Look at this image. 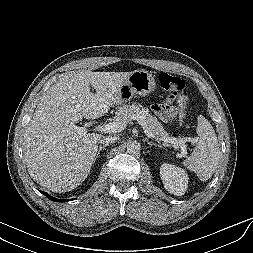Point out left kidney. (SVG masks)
<instances>
[{"instance_id":"5707ae66","label":"left kidney","mask_w":253,"mask_h":253,"mask_svg":"<svg viewBox=\"0 0 253 253\" xmlns=\"http://www.w3.org/2000/svg\"><path fill=\"white\" fill-rule=\"evenodd\" d=\"M160 176L164 187L171 194L176 196L185 194L188 187V175L183 169L165 163L160 167Z\"/></svg>"}]
</instances>
